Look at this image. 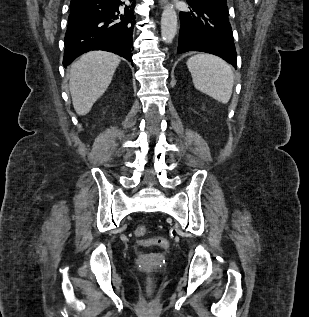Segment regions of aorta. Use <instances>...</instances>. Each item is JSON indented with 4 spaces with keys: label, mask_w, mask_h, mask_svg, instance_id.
Instances as JSON below:
<instances>
[{
    "label": "aorta",
    "mask_w": 309,
    "mask_h": 317,
    "mask_svg": "<svg viewBox=\"0 0 309 317\" xmlns=\"http://www.w3.org/2000/svg\"><path fill=\"white\" fill-rule=\"evenodd\" d=\"M177 31V14L171 4L164 7L161 17V36L166 43H172Z\"/></svg>",
    "instance_id": "obj_1"
}]
</instances>
